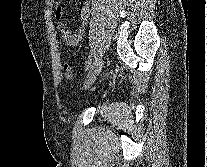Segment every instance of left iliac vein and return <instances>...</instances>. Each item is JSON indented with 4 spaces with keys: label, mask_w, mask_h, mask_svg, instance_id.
<instances>
[{
    "label": "left iliac vein",
    "mask_w": 207,
    "mask_h": 167,
    "mask_svg": "<svg viewBox=\"0 0 207 167\" xmlns=\"http://www.w3.org/2000/svg\"><path fill=\"white\" fill-rule=\"evenodd\" d=\"M103 65H104V61L102 58L95 59V61L90 66L88 74L86 75L85 82H84L85 88H88L95 81Z\"/></svg>",
    "instance_id": "obj_1"
}]
</instances>
